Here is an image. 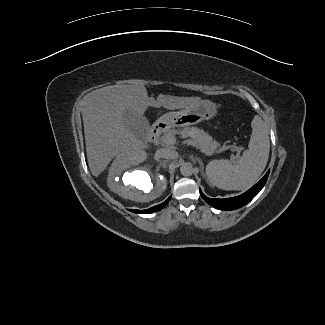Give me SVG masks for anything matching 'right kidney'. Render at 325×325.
<instances>
[{
    "label": "right kidney",
    "mask_w": 325,
    "mask_h": 325,
    "mask_svg": "<svg viewBox=\"0 0 325 325\" xmlns=\"http://www.w3.org/2000/svg\"><path fill=\"white\" fill-rule=\"evenodd\" d=\"M144 161L145 158L118 156L109 170L108 187L132 201L149 202L158 198L166 190L167 180L153 172ZM122 175L123 182L120 180Z\"/></svg>",
    "instance_id": "ca27d5eb"
}]
</instances>
